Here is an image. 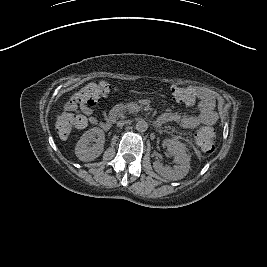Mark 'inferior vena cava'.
<instances>
[{"label": "inferior vena cava", "instance_id": "obj_1", "mask_svg": "<svg viewBox=\"0 0 267 267\" xmlns=\"http://www.w3.org/2000/svg\"><path fill=\"white\" fill-rule=\"evenodd\" d=\"M121 125H124L126 122L125 121H120L119 122Z\"/></svg>", "mask_w": 267, "mask_h": 267}]
</instances>
